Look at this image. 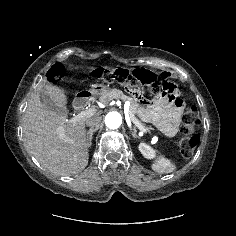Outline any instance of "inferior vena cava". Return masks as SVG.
I'll return each mask as SVG.
<instances>
[{
  "instance_id": "1",
  "label": "inferior vena cava",
  "mask_w": 236,
  "mask_h": 236,
  "mask_svg": "<svg viewBox=\"0 0 236 236\" xmlns=\"http://www.w3.org/2000/svg\"><path fill=\"white\" fill-rule=\"evenodd\" d=\"M101 124V117L95 116L86 120V125L90 127V129H98Z\"/></svg>"
}]
</instances>
